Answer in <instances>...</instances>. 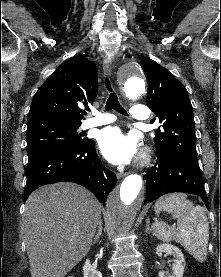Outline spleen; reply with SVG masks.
I'll return each mask as SVG.
<instances>
[{"label": "spleen", "instance_id": "3e777b00", "mask_svg": "<svg viewBox=\"0 0 221 277\" xmlns=\"http://www.w3.org/2000/svg\"><path fill=\"white\" fill-rule=\"evenodd\" d=\"M164 210L177 219V228H171L156 221L152 228L154 235L165 242L175 240L180 243L197 261L207 258L209 224L201 206L194 204L182 193L165 195L155 203V212Z\"/></svg>", "mask_w": 221, "mask_h": 277}]
</instances>
